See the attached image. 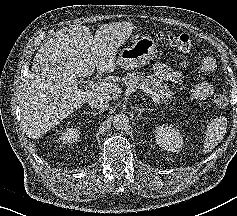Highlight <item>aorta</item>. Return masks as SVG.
Listing matches in <instances>:
<instances>
[{
	"mask_svg": "<svg viewBox=\"0 0 237 216\" xmlns=\"http://www.w3.org/2000/svg\"><path fill=\"white\" fill-rule=\"evenodd\" d=\"M112 125L115 129L123 131L129 125V119L125 114H117L113 117Z\"/></svg>",
	"mask_w": 237,
	"mask_h": 216,
	"instance_id": "762f6f07",
	"label": "aorta"
}]
</instances>
